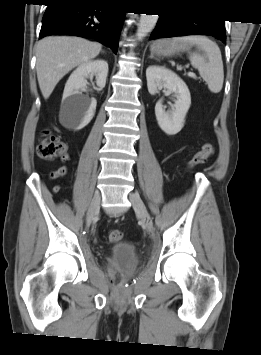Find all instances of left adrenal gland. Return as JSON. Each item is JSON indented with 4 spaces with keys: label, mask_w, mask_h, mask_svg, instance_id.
Listing matches in <instances>:
<instances>
[{
    "label": "left adrenal gland",
    "mask_w": 261,
    "mask_h": 355,
    "mask_svg": "<svg viewBox=\"0 0 261 355\" xmlns=\"http://www.w3.org/2000/svg\"><path fill=\"white\" fill-rule=\"evenodd\" d=\"M150 59H156L152 53L150 55Z\"/></svg>",
    "instance_id": "left-adrenal-gland-1"
}]
</instances>
